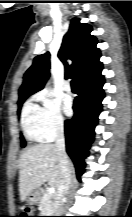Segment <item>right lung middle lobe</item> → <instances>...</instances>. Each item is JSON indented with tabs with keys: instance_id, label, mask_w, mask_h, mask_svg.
Listing matches in <instances>:
<instances>
[{
	"instance_id": "dd1d6c3e",
	"label": "right lung middle lobe",
	"mask_w": 132,
	"mask_h": 217,
	"mask_svg": "<svg viewBox=\"0 0 132 217\" xmlns=\"http://www.w3.org/2000/svg\"><path fill=\"white\" fill-rule=\"evenodd\" d=\"M25 99L26 98L19 99V101H18V107H19L18 110L19 111H20L21 106H22L23 102L25 101ZM21 142H22L21 146L24 147L26 145V143H25V140H24L23 136H21Z\"/></svg>"
}]
</instances>
